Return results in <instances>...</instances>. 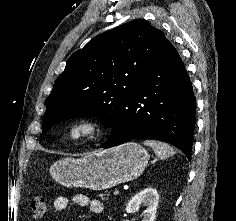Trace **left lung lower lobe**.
<instances>
[{
	"mask_svg": "<svg viewBox=\"0 0 236 221\" xmlns=\"http://www.w3.org/2000/svg\"><path fill=\"white\" fill-rule=\"evenodd\" d=\"M195 111L191 81L178 52L167 39L123 105L103 148L152 138L174 145L189 159Z\"/></svg>",
	"mask_w": 236,
	"mask_h": 221,
	"instance_id": "left-lung-lower-lobe-1",
	"label": "left lung lower lobe"
}]
</instances>
